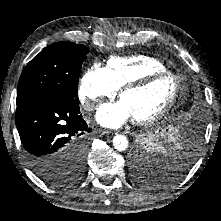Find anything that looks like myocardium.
Here are the masks:
<instances>
[{
    "label": "myocardium",
    "instance_id": "1",
    "mask_svg": "<svg viewBox=\"0 0 221 221\" xmlns=\"http://www.w3.org/2000/svg\"><path fill=\"white\" fill-rule=\"evenodd\" d=\"M162 77H171L175 81L176 87H175V91H174L172 98L165 105V107L162 110H160L159 112H157L156 114H154L150 117H146V118L133 119L132 120L133 123H135L137 125H151V124H154V123L160 121L162 118H164L175 106V104L180 96V93L183 89L182 80L178 75H176L172 71L165 70V71H159V72L147 74L138 80L131 81V82L124 84L119 89L118 96L121 99V96L124 93H126L128 91L142 89V88L148 86L153 81H155L159 78H162Z\"/></svg>",
    "mask_w": 221,
    "mask_h": 221
}]
</instances>
